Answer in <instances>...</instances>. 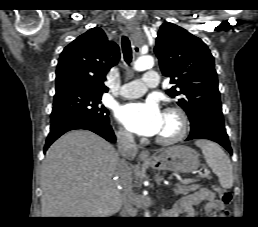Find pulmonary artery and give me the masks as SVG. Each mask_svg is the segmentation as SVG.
Listing matches in <instances>:
<instances>
[{"instance_id": "pulmonary-artery-1", "label": "pulmonary artery", "mask_w": 258, "mask_h": 227, "mask_svg": "<svg viewBox=\"0 0 258 227\" xmlns=\"http://www.w3.org/2000/svg\"><path fill=\"white\" fill-rule=\"evenodd\" d=\"M159 83L158 73L148 71L142 79L130 81L121 86L119 95L125 99H133L142 96L149 88H154Z\"/></svg>"}]
</instances>
